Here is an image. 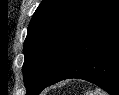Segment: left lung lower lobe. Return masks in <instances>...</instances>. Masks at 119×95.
I'll use <instances>...</instances> for the list:
<instances>
[{"label": "left lung lower lobe", "instance_id": "1", "mask_svg": "<svg viewBox=\"0 0 119 95\" xmlns=\"http://www.w3.org/2000/svg\"><path fill=\"white\" fill-rule=\"evenodd\" d=\"M70 78L87 80L119 95V2L80 38L62 68L34 95Z\"/></svg>", "mask_w": 119, "mask_h": 95}]
</instances>
